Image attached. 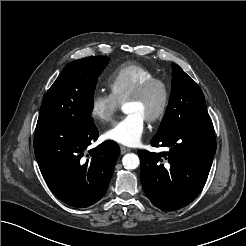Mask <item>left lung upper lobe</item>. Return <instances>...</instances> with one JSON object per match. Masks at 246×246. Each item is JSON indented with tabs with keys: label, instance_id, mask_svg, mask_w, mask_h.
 Here are the masks:
<instances>
[{
	"label": "left lung upper lobe",
	"instance_id": "5c2ea615",
	"mask_svg": "<svg viewBox=\"0 0 246 246\" xmlns=\"http://www.w3.org/2000/svg\"><path fill=\"white\" fill-rule=\"evenodd\" d=\"M172 70L169 104L154 137L168 133L178 124L210 118L201 88L177 64H172Z\"/></svg>",
	"mask_w": 246,
	"mask_h": 246
}]
</instances>
